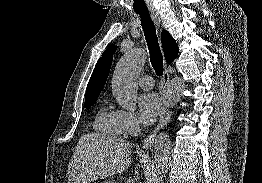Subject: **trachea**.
I'll list each match as a JSON object with an SVG mask.
<instances>
[{
	"instance_id": "3493384b",
	"label": "trachea",
	"mask_w": 262,
	"mask_h": 183,
	"mask_svg": "<svg viewBox=\"0 0 262 183\" xmlns=\"http://www.w3.org/2000/svg\"><path fill=\"white\" fill-rule=\"evenodd\" d=\"M141 18V24L150 53V62L158 76L163 75V57L158 43V37L154 23L148 11L137 12Z\"/></svg>"
}]
</instances>
